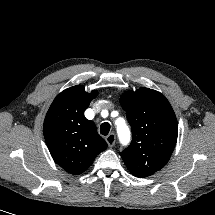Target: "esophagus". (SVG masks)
<instances>
[{
  "mask_svg": "<svg viewBox=\"0 0 215 215\" xmlns=\"http://www.w3.org/2000/svg\"><path fill=\"white\" fill-rule=\"evenodd\" d=\"M116 141V136L114 133H110L107 137H106V142L108 144L109 147L114 146Z\"/></svg>",
  "mask_w": 215,
  "mask_h": 215,
  "instance_id": "1",
  "label": "esophagus"
}]
</instances>
